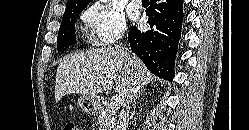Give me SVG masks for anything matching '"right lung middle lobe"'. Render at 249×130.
<instances>
[{"label": "right lung middle lobe", "instance_id": "dd1d6c3e", "mask_svg": "<svg viewBox=\"0 0 249 130\" xmlns=\"http://www.w3.org/2000/svg\"><path fill=\"white\" fill-rule=\"evenodd\" d=\"M85 7L66 6L64 16L58 32L57 49L58 52L65 51L69 46L76 43L75 22L76 18Z\"/></svg>", "mask_w": 249, "mask_h": 130}]
</instances>
